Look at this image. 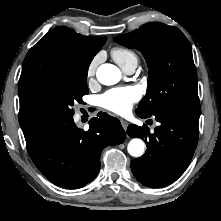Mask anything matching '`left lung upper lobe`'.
I'll return each instance as SVG.
<instances>
[{
  "label": "left lung upper lobe",
  "instance_id": "left-lung-upper-lobe-1",
  "mask_svg": "<svg viewBox=\"0 0 221 221\" xmlns=\"http://www.w3.org/2000/svg\"><path fill=\"white\" fill-rule=\"evenodd\" d=\"M114 41L138 49L147 61V93L136 113L149 115L160 107L200 115L192 49L178 28L160 22L147 23L133 32L116 36Z\"/></svg>",
  "mask_w": 221,
  "mask_h": 221
}]
</instances>
